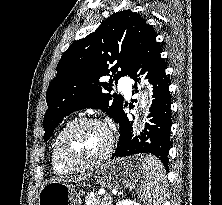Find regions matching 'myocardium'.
<instances>
[{
  "label": "myocardium",
  "mask_w": 222,
  "mask_h": 205,
  "mask_svg": "<svg viewBox=\"0 0 222 205\" xmlns=\"http://www.w3.org/2000/svg\"><path fill=\"white\" fill-rule=\"evenodd\" d=\"M82 124H94L103 128L107 135V143L104 150L97 156L88 160L73 161L66 157L63 150V143L66 136L74 128ZM113 147H114V136L111 129L107 126V124L101 119L87 116V117H81V118L75 119L62 130L56 143V153H57L58 160L63 166L75 170V169L87 168V167L94 166L96 164L103 162L105 159L109 157V155L111 154L113 150Z\"/></svg>",
  "instance_id": "myocardium-1"
}]
</instances>
